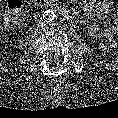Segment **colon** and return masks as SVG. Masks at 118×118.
<instances>
[{"mask_svg": "<svg viewBox=\"0 0 118 118\" xmlns=\"http://www.w3.org/2000/svg\"><path fill=\"white\" fill-rule=\"evenodd\" d=\"M22 18V5L19 0H13L9 4L4 14V24L6 27L17 26Z\"/></svg>", "mask_w": 118, "mask_h": 118, "instance_id": "colon-1", "label": "colon"}]
</instances>
